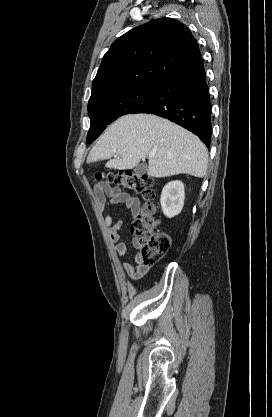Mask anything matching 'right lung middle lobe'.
Listing matches in <instances>:
<instances>
[{
    "mask_svg": "<svg viewBox=\"0 0 272 417\" xmlns=\"http://www.w3.org/2000/svg\"><path fill=\"white\" fill-rule=\"evenodd\" d=\"M160 85H140L116 91L88 104L90 129L87 143L95 140L111 122L126 114H132L151 98Z\"/></svg>",
    "mask_w": 272,
    "mask_h": 417,
    "instance_id": "1",
    "label": "right lung middle lobe"
}]
</instances>
